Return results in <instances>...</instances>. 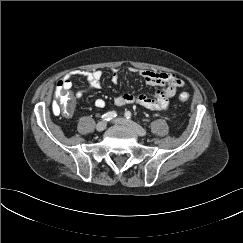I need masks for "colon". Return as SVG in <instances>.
<instances>
[{
	"mask_svg": "<svg viewBox=\"0 0 243 243\" xmlns=\"http://www.w3.org/2000/svg\"><path fill=\"white\" fill-rule=\"evenodd\" d=\"M56 98L57 100L53 105L54 112L65 115L72 114L75 108V97L70 92L65 90L59 82L56 86ZM179 99L185 102L189 99V94L183 92L179 95Z\"/></svg>",
	"mask_w": 243,
	"mask_h": 243,
	"instance_id": "5ec220e1",
	"label": "colon"
}]
</instances>
